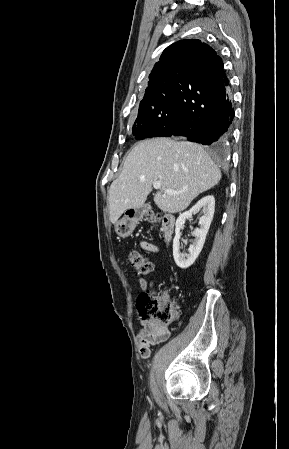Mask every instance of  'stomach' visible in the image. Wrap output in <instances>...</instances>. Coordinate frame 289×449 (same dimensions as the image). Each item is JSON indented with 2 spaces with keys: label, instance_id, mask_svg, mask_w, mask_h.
Returning a JSON list of instances; mask_svg holds the SVG:
<instances>
[{
  "label": "stomach",
  "instance_id": "obj_1",
  "mask_svg": "<svg viewBox=\"0 0 289 449\" xmlns=\"http://www.w3.org/2000/svg\"><path fill=\"white\" fill-rule=\"evenodd\" d=\"M137 222V216L134 217H128L124 216L115 224V231L118 236L122 238L128 237L133 230L135 229Z\"/></svg>",
  "mask_w": 289,
  "mask_h": 449
}]
</instances>
